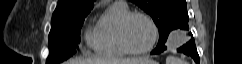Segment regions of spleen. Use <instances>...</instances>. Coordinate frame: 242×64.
<instances>
[{"instance_id": "spleen-1", "label": "spleen", "mask_w": 242, "mask_h": 64, "mask_svg": "<svg viewBox=\"0 0 242 64\" xmlns=\"http://www.w3.org/2000/svg\"><path fill=\"white\" fill-rule=\"evenodd\" d=\"M166 64H186L183 60L173 57V56H169L166 59Z\"/></svg>"}]
</instances>
